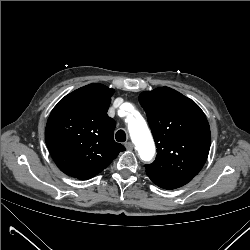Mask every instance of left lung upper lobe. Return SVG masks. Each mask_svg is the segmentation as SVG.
<instances>
[{"instance_id":"1","label":"left lung upper lobe","mask_w":250,"mask_h":250,"mask_svg":"<svg viewBox=\"0 0 250 250\" xmlns=\"http://www.w3.org/2000/svg\"><path fill=\"white\" fill-rule=\"evenodd\" d=\"M139 102L145 110L157 147L146 173L161 177H195L209 153L211 134L201 108L169 87L144 91Z\"/></svg>"}]
</instances>
